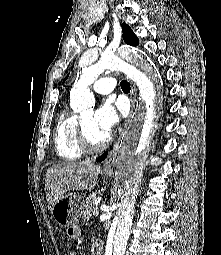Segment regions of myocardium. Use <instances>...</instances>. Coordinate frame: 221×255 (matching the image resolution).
I'll return each mask as SVG.
<instances>
[{
	"instance_id": "1",
	"label": "myocardium",
	"mask_w": 221,
	"mask_h": 255,
	"mask_svg": "<svg viewBox=\"0 0 221 255\" xmlns=\"http://www.w3.org/2000/svg\"><path fill=\"white\" fill-rule=\"evenodd\" d=\"M78 135L82 149L87 153H96L104 150L111 142V137L108 135L106 139L100 144L93 143L88 137L83 122L80 120L78 124Z\"/></svg>"
}]
</instances>
